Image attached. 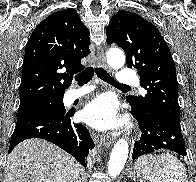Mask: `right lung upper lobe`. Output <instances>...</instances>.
<instances>
[{"mask_svg":"<svg viewBox=\"0 0 196 182\" xmlns=\"http://www.w3.org/2000/svg\"><path fill=\"white\" fill-rule=\"evenodd\" d=\"M89 35L74 9L54 12L35 28L25 48L20 105L64 95L70 75L84 69L80 61L90 53Z\"/></svg>","mask_w":196,"mask_h":182,"instance_id":"1","label":"right lung upper lobe"}]
</instances>
